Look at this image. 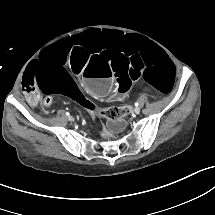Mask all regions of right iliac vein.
Instances as JSON below:
<instances>
[{
    "label": "right iliac vein",
    "instance_id": "right-iliac-vein-1",
    "mask_svg": "<svg viewBox=\"0 0 215 215\" xmlns=\"http://www.w3.org/2000/svg\"><path fill=\"white\" fill-rule=\"evenodd\" d=\"M68 120H69V121H72V120H73V117L69 116V117H68Z\"/></svg>",
    "mask_w": 215,
    "mask_h": 215
}]
</instances>
